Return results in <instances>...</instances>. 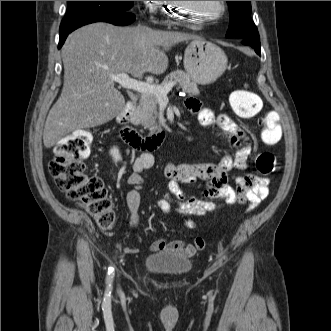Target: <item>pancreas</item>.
<instances>
[{
  "label": "pancreas",
  "mask_w": 331,
  "mask_h": 331,
  "mask_svg": "<svg viewBox=\"0 0 331 331\" xmlns=\"http://www.w3.org/2000/svg\"><path fill=\"white\" fill-rule=\"evenodd\" d=\"M178 82L184 92L189 95H199L197 83L182 70L170 73L159 86H165L169 82ZM158 98L154 94H142L139 105L134 109L131 122L134 125H142L145 129L155 131L160 128L156 119L158 116Z\"/></svg>",
  "instance_id": "cf45deb5"
}]
</instances>
